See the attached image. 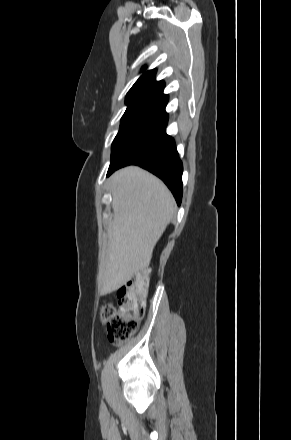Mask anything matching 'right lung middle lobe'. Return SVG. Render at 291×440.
Wrapping results in <instances>:
<instances>
[{
  "label": "right lung middle lobe",
  "instance_id": "obj_1",
  "mask_svg": "<svg viewBox=\"0 0 291 440\" xmlns=\"http://www.w3.org/2000/svg\"><path fill=\"white\" fill-rule=\"evenodd\" d=\"M152 103L153 101L147 100L126 103L127 109L121 118L120 129L112 143L111 161L123 143L137 127L144 115L147 113Z\"/></svg>",
  "mask_w": 291,
  "mask_h": 440
}]
</instances>
